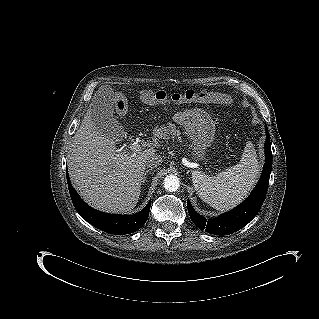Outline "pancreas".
<instances>
[{
	"label": "pancreas",
	"instance_id": "cf45deb5",
	"mask_svg": "<svg viewBox=\"0 0 319 319\" xmlns=\"http://www.w3.org/2000/svg\"><path fill=\"white\" fill-rule=\"evenodd\" d=\"M154 133L160 138H174L180 136L181 132L176 128L175 124L167 123L166 125L155 128Z\"/></svg>",
	"mask_w": 319,
	"mask_h": 319
}]
</instances>
